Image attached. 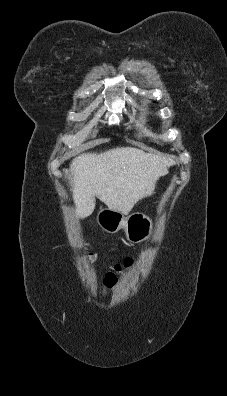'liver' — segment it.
Returning <instances> with one entry per match:
<instances>
[{"label":"liver","mask_w":227,"mask_h":396,"mask_svg":"<svg viewBox=\"0 0 227 396\" xmlns=\"http://www.w3.org/2000/svg\"><path fill=\"white\" fill-rule=\"evenodd\" d=\"M173 161L132 147L84 153L70 165L76 215L90 216L97 197L108 208L128 214L141 199L154 193L157 180Z\"/></svg>","instance_id":"obj_1"}]
</instances>
